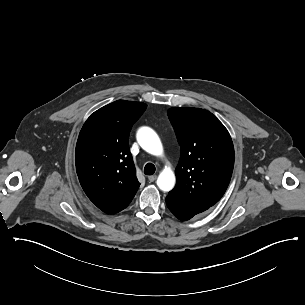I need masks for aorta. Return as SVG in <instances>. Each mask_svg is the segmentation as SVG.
<instances>
[{
    "instance_id": "aorta-1",
    "label": "aorta",
    "mask_w": 305,
    "mask_h": 305,
    "mask_svg": "<svg viewBox=\"0 0 305 305\" xmlns=\"http://www.w3.org/2000/svg\"><path fill=\"white\" fill-rule=\"evenodd\" d=\"M139 145L148 153L154 156H161L163 153L162 143L156 132L149 127H142L137 132ZM175 174L171 169L165 168L158 176L157 185L160 190L168 192L175 186Z\"/></svg>"
}]
</instances>
